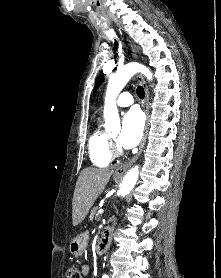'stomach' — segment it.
<instances>
[{
  "instance_id": "stomach-1",
  "label": "stomach",
  "mask_w": 221,
  "mask_h": 278,
  "mask_svg": "<svg viewBox=\"0 0 221 278\" xmlns=\"http://www.w3.org/2000/svg\"><path fill=\"white\" fill-rule=\"evenodd\" d=\"M114 180H118L117 176H114ZM89 236L87 233H81L73 238L69 245V251L72 255L78 257L81 256L87 248Z\"/></svg>"
}]
</instances>
